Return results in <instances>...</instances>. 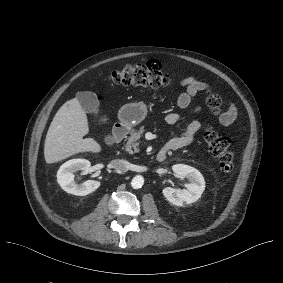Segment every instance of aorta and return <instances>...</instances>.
Wrapping results in <instances>:
<instances>
[{
    "instance_id": "1",
    "label": "aorta",
    "mask_w": 283,
    "mask_h": 283,
    "mask_svg": "<svg viewBox=\"0 0 283 283\" xmlns=\"http://www.w3.org/2000/svg\"><path fill=\"white\" fill-rule=\"evenodd\" d=\"M144 184V178L141 175H136L135 177H133L132 181H131V186L134 189H139L143 186Z\"/></svg>"
}]
</instances>
